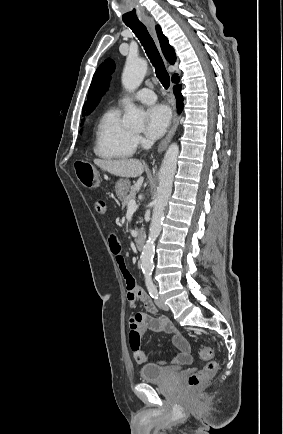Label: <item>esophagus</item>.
I'll return each mask as SVG.
<instances>
[{
  "mask_svg": "<svg viewBox=\"0 0 283 434\" xmlns=\"http://www.w3.org/2000/svg\"><path fill=\"white\" fill-rule=\"evenodd\" d=\"M143 22L144 24L147 26L150 34L152 35V37L154 38L155 42L157 44L158 43V38H157V34H156V30H155V21L153 18L151 17H145L143 18ZM179 123V118L176 117L174 118L172 125L167 133V135L165 136V138L160 142L159 146H158V152L161 153L163 152L166 147L168 146L169 142L171 141L173 135L175 134V131L177 129Z\"/></svg>",
  "mask_w": 283,
  "mask_h": 434,
  "instance_id": "1",
  "label": "esophagus"
}]
</instances>
